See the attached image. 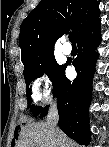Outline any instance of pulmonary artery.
I'll use <instances>...</instances> for the list:
<instances>
[{
    "label": "pulmonary artery",
    "instance_id": "obj_1",
    "mask_svg": "<svg viewBox=\"0 0 109 147\" xmlns=\"http://www.w3.org/2000/svg\"><path fill=\"white\" fill-rule=\"evenodd\" d=\"M71 50H72L71 45L68 42H65L62 46V52L65 55H70Z\"/></svg>",
    "mask_w": 109,
    "mask_h": 147
}]
</instances>
